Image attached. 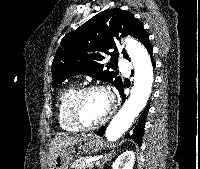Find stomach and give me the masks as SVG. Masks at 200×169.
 <instances>
[{"instance_id":"stomach-1","label":"stomach","mask_w":200,"mask_h":169,"mask_svg":"<svg viewBox=\"0 0 200 169\" xmlns=\"http://www.w3.org/2000/svg\"><path fill=\"white\" fill-rule=\"evenodd\" d=\"M102 142L94 137L90 136L86 138L79 146L85 154H93L100 150ZM74 149L72 147H65L59 150L54 158L50 161L48 169H68L73 159Z\"/></svg>"}]
</instances>
